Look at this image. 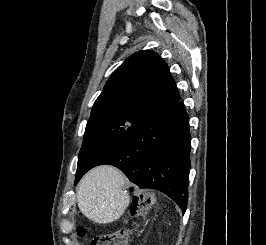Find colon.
<instances>
[{
  "label": "colon",
  "mask_w": 266,
  "mask_h": 245,
  "mask_svg": "<svg viewBox=\"0 0 266 245\" xmlns=\"http://www.w3.org/2000/svg\"><path fill=\"white\" fill-rule=\"evenodd\" d=\"M152 206L153 201L149 196H136L132 199L130 214L132 217L140 216L145 214ZM81 232H79L80 235H82ZM90 245H131L130 232L126 229H120L115 233L101 234L96 236Z\"/></svg>",
  "instance_id": "1"
}]
</instances>
